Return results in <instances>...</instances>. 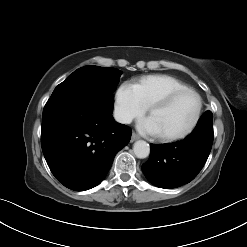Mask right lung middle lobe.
Returning a JSON list of instances; mask_svg holds the SVG:
<instances>
[{"label": "right lung middle lobe", "instance_id": "1", "mask_svg": "<svg viewBox=\"0 0 247 247\" xmlns=\"http://www.w3.org/2000/svg\"><path fill=\"white\" fill-rule=\"evenodd\" d=\"M121 74L120 70L111 67L84 66L60 83L50 99L70 95H89L104 97L113 104L112 94L116 90Z\"/></svg>", "mask_w": 247, "mask_h": 247}]
</instances>
